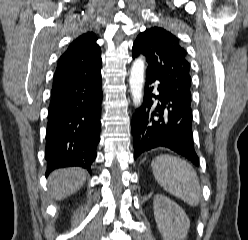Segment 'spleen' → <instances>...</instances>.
<instances>
[{
	"mask_svg": "<svg viewBox=\"0 0 248 240\" xmlns=\"http://www.w3.org/2000/svg\"><path fill=\"white\" fill-rule=\"evenodd\" d=\"M151 166L156 181L163 189L191 206L199 204V179L187 161L171 155H160L152 161Z\"/></svg>",
	"mask_w": 248,
	"mask_h": 240,
	"instance_id": "3e777b00",
	"label": "spleen"
}]
</instances>
